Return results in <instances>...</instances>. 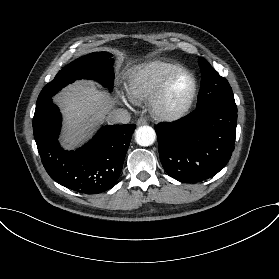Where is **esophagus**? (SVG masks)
Here are the masks:
<instances>
[{
  "mask_svg": "<svg viewBox=\"0 0 279 279\" xmlns=\"http://www.w3.org/2000/svg\"><path fill=\"white\" fill-rule=\"evenodd\" d=\"M145 124H147V119L145 117H140L137 120V125L141 126V125H145Z\"/></svg>",
  "mask_w": 279,
  "mask_h": 279,
  "instance_id": "1",
  "label": "esophagus"
}]
</instances>
